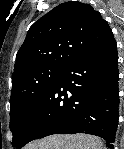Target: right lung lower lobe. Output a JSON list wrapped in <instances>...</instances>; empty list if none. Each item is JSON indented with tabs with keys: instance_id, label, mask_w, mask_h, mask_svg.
I'll list each match as a JSON object with an SVG mask.
<instances>
[{
	"instance_id": "obj_1",
	"label": "right lung lower lobe",
	"mask_w": 124,
	"mask_h": 149,
	"mask_svg": "<svg viewBox=\"0 0 124 149\" xmlns=\"http://www.w3.org/2000/svg\"><path fill=\"white\" fill-rule=\"evenodd\" d=\"M118 79L117 45L113 38L62 69L16 149L49 135L75 133L99 136L113 149L119 118Z\"/></svg>"
}]
</instances>
